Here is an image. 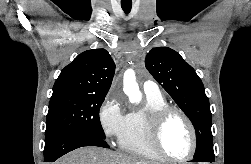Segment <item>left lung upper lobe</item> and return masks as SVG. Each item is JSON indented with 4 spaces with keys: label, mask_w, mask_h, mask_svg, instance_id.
<instances>
[{
    "label": "left lung upper lobe",
    "mask_w": 251,
    "mask_h": 164,
    "mask_svg": "<svg viewBox=\"0 0 251 164\" xmlns=\"http://www.w3.org/2000/svg\"><path fill=\"white\" fill-rule=\"evenodd\" d=\"M145 66L192 121L197 135L194 159H214L209 100L195 70L168 47L153 48Z\"/></svg>",
    "instance_id": "obj_1"
}]
</instances>
